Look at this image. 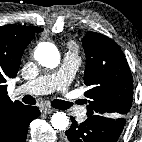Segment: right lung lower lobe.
I'll return each instance as SVG.
<instances>
[{"instance_id":"1","label":"right lung lower lobe","mask_w":142,"mask_h":142,"mask_svg":"<svg viewBox=\"0 0 142 142\" xmlns=\"http://www.w3.org/2000/svg\"><path fill=\"white\" fill-rule=\"evenodd\" d=\"M36 106H22L0 123V142H25L30 122L39 117Z\"/></svg>"}]
</instances>
